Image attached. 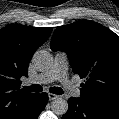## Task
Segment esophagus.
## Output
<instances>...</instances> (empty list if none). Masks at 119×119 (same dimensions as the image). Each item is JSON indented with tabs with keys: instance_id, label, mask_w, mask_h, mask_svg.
Returning a JSON list of instances; mask_svg holds the SVG:
<instances>
[{
	"instance_id": "34e87169",
	"label": "esophagus",
	"mask_w": 119,
	"mask_h": 119,
	"mask_svg": "<svg viewBox=\"0 0 119 119\" xmlns=\"http://www.w3.org/2000/svg\"><path fill=\"white\" fill-rule=\"evenodd\" d=\"M48 97H49V100L52 101V100L57 99L59 96L58 95H55V94H52V93H49L48 94Z\"/></svg>"
}]
</instances>
